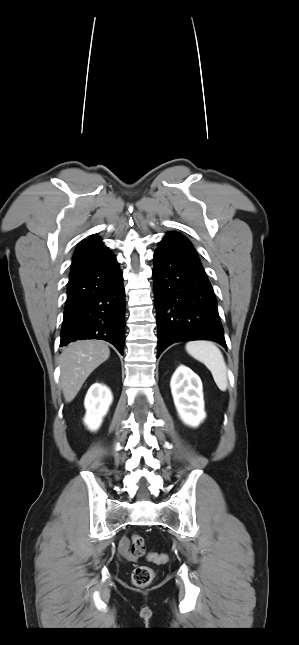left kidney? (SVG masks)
I'll use <instances>...</instances> for the list:
<instances>
[{
  "label": "left kidney",
  "instance_id": "5707ae66",
  "mask_svg": "<svg viewBox=\"0 0 299 645\" xmlns=\"http://www.w3.org/2000/svg\"><path fill=\"white\" fill-rule=\"evenodd\" d=\"M170 386L180 419L188 426L197 427L206 417L199 376L181 365L174 372Z\"/></svg>",
  "mask_w": 299,
  "mask_h": 645
}]
</instances>
